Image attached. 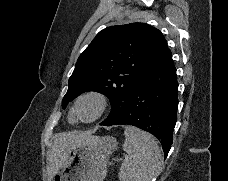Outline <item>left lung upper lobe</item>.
Here are the masks:
<instances>
[{"label": "left lung upper lobe", "mask_w": 228, "mask_h": 181, "mask_svg": "<svg viewBox=\"0 0 228 181\" xmlns=\"http://www.w3.org/2000/svg\"><path fill=\"white\" fill-rule=\"evenodd\" d=\"M166 49L162 33L146 23L103 29L79 56L63 107L83 92L97 91L110 99L112 107L100 125L118 122L140 76Z\"/></svg>", "instance_id": "5c2ea615"}]
</instances>
